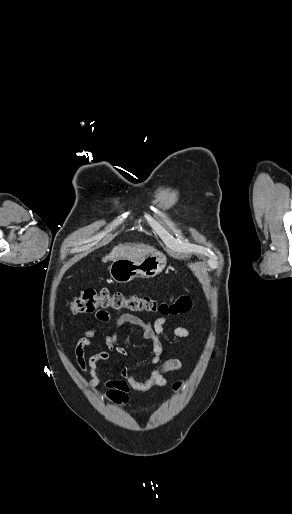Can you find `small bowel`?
<instances>
[{"label":"small bowel","instance_id":"small-bowel-1","mask_svg":"<svg viewBox=\"0 0 292 514\" xmlns=\"http://www.w3.org/2000/svg\"><path fill=\"white\" fill-rule=\"evenodd\" d=\"M98 322L108 323L112 321V314L105 309H99L94 313ZM167 318L161 317L154 322L144 320L132 313H123L113 320L112 330L109 333L103 332L98 327H93L85 331L83 336L76 342L74 354L79 369L89 376V386L93 389L104 385L106 391L102 397L116 404H124L127 401V394L130 390L146 392L153 387H164L169 383L167 374L179 371L183 368V363L177 358H167L162 360L161 354L163 346L160 337L165 334ZM129 326L137 327L141 330L142 337L151 343L154 356L151 362L157 365L150 371L146 380H138L128 369L121 371V377L102 381L99 375V364L109 360L108 351H115L122 356H127L128 351L120 346V332ZM101 335L104 345L108 351H100L86 357V350L94 345L93 339ZM170 335L176 339H186L190 336V331L183 326L173 328Z\"/></svg>","mask_w":292,"mask_h":514}]
</instances>
